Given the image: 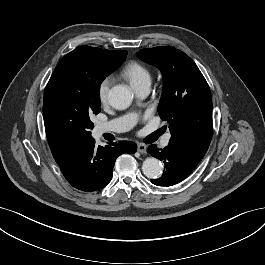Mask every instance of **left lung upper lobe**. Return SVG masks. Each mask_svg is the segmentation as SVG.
<instances>
[{
    "label": "left lung upper lobe",
    "instance_id": "left-lung-upper-lobe-1",
    "mask_svg": "<svg viewBox=\"0 0 265 265\" xmlns=\"http://www.w3.org/2000/svg\"><path fill=\"white\" fill-rule=\"evenodd\" d=\"M137 56L161 70L164 86L157 110L169 123L168 147L195 168L212 138V97L205 78L189 56L173 47L141 49Z\"/></svg>",
    "mask_w": 265,
    "mask_h": 265
}]
</instances>
